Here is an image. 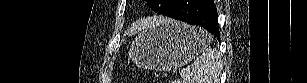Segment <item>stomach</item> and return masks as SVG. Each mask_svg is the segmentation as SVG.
Returning <instances> with one entry per match:
<instances>
[{
	"mask_svg": "<svg viewBox=\"0 0 307 83\" xmlns=\"http://www.w3.org/2000/svg\"><path fill=\"white\" fill-rule=\"evenodd\" d=\"M209 43L208 33L201 28L168 20L138 35L129 58L149 69L172 70L190 62Z\"/></svg>",
	"mask_w": 307,
	"mask_h": 83,
	"instance_id": "1",
	"label": "stomach"
}]
</instances>
